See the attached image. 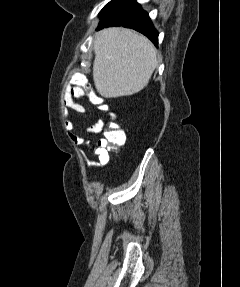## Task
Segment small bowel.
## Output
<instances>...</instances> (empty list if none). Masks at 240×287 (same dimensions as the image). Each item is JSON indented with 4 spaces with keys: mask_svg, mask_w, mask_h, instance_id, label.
<instances>
[{
    "mask_svg": "<svg viewBox=\"0 0 240 287\" xmlns=\"http://www.w3.org/2000/svg\"><path fill=\"white\" fill-rule=\"evenodd\" d=\"M85 96V91L78 84V79L73 78L63 93V104L66 109H71L76 113L82 114L85 112V107L78 102V99H81ZM92 101L93 97H90ZM104 128V121L99 119L95 123L91 124L86 131L90 134L100 133ZM71 140L75 143H86L90 145L92 152L98 157L101 164L106 163L109 159L108 151H107V142L105 139H100L96 145H91L88 140H84L75 135L71 136Z\"/></svg>",
    "mask_w": 240,
    "mask_h": 287,
    "instance_id": "c3829d8e",
    "label": "small bowel"
}]
</instances>
